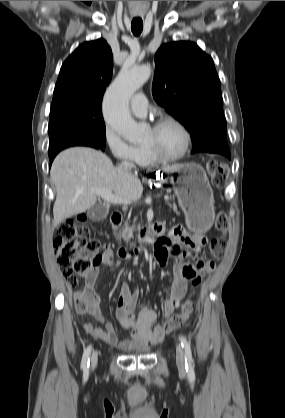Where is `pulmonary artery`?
I'll return each instance as SVG.
<instances>
[{"mask_svg":"<svg viewBox=\"0 0 285 418\" xmlns=\"http://www.w3.org/2000/svg\"><path fill=\"white\" fill-rule=\"evenodd\" d=\"M131 112L137 116H144L148 109V103L143 94H136L130 101Z\"/></svg>","mask_w":285,"mask_h":418,"instance_id":"e3ab8cb5","label":"pulmonary artery"}]
</instances>
